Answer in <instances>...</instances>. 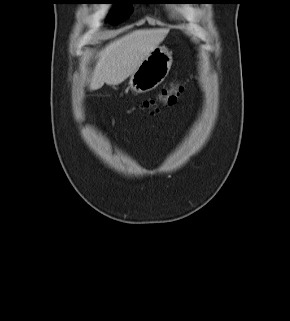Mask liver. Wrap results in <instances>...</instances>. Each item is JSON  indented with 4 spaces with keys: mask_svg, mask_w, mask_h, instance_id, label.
Masks as SVG:
<instances>
[{
    "mask_svg": "<svg viewBox=\"0 0 290 321\" xmlns=\"http://www.w3.org/2000/svg\"><path fill=\"white\" fill-rule=\"evenodd\" d=\"M166 28L141 29L110 42L100 53L89 84L90 90L104 83L118 85L134 73L142 61L165 39Z\"/></svg>",
    "mask_w": 290,
    "mask_h": 321,
    "instance_id": "obj_1",
    "label": "liver"
}]
</instances>
